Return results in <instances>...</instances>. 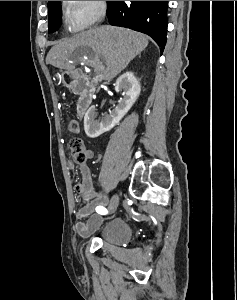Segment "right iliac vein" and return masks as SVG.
I'll list each match as a JSON object with an SVG mask.
<instances>
[{
	"label": "right iliac vein",
	"mask_w": 237,
	"mask_h": 300,
	"mask_svg": "<svg viewBox=\"0 0 237 300\" xmlns=\"http://www.w3.org/2000/svg\"><path fill=\"white\" fill-rule=\"evenodd\" d=\"M118 203H119V198L117 195H114L113 198L111 199L109 205H108V211L109 212H114L115 209L117 208L118 206Z\"/></svg>",
	"instance_id": "obj_1"
}]
</instances>
